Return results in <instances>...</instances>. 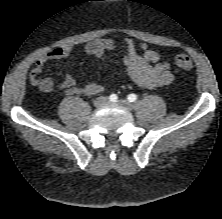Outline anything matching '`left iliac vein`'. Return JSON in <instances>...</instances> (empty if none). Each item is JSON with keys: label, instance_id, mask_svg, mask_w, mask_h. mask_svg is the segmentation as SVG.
<instances>
[{"label": "left iliac vein", "instance_id": "4c4485c4", "mask_svg": "<svg viewBox=\"0 0 222 219\" xmlns=\"http://www.w3.org/2000/svg\"><path fill=\"white\" fill-rule=\"evenodd\" d=\"M116 105H119L128 111L132 110V108H133L132 103H130L129 101L124 100V99L118 100L116 102Z\"/></svg>", "mask_w": 222, "mask_h": 219}]
</instances>
